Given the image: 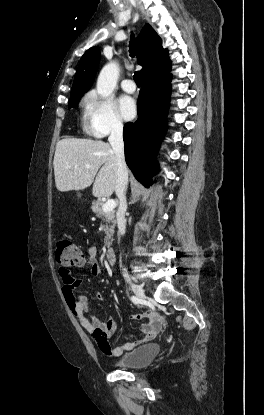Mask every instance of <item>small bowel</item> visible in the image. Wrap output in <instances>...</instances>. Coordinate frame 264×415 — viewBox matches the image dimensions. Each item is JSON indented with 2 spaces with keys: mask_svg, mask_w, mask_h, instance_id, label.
Wrapping results in <instances>:
<instances>
[{
  "mask_svg": "<svg viewBox=\"0 0 264 415\" xmlns=\"http://www.w3.org/2000/svg\"><path fill=\"white\" fill-rule=\"evenodd\" d=\"M84 264L90 268V272L94 277L101 276V268L96 259V251L94 247H89L87 251V257ZM59 275L63 281V291L65 295L68 292H72L74 295L73 302H68L74 316L77 318L81 326L86 332L91 334L97 341L101 350L106 354H112L114 356H120L125 351H131L139 345H143L154 340L162 325L165 323V318L156 311H148L144 313H133L131 319L142 320L146 322L142 323L139 327L142 336L136 341H128L121 345L111 347L109 342V336L116 331V324L114 320L100 321L93 314L90 313V304L86 296L82 294H75L78 288L82 284V280L74 277L70 269L60 268ZM95 298L102 302L104 297L101 293H95Z\"/></svg>",
  "mask_w": 264,
  "mask_h": 415,
  "instance_id": "c3829d8e",
  "label": "small bowel"
}]
</instances>
